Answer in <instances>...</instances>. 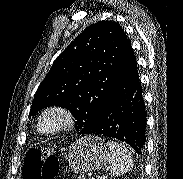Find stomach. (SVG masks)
Listing matches in <instances>:
<instances>
[{"label": "stomach", "mask_w": 183, "mask_h": 179, "mask_svg": "<svg viewBox=\"0 0 183 179\" xmlns=\"http://www.w3.org/2000/svg\"><path fill=\"white\" fill-rule=\"evenodd\" d=\"M66 158L75 173L101 169L109 161L110 152L104 141L94 135L85 136L73 143Z\"/></svg>", "instance_id": "0dacf381"}]
</instances>
